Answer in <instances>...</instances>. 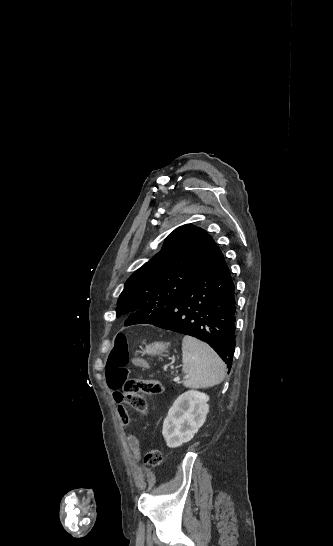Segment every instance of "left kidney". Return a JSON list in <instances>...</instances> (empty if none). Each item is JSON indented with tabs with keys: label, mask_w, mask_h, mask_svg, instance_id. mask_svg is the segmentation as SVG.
I'll return each mask as SVG.
<instances>
[{
	"label": "left kidney",
	"mask_w": 333,
	"mask_h": 546,
	"mask_svg": "<svg viewBox=\"0 0 333 546\" xmlns=\"http://www.w3.org/2000/svg\"><path fill=\"white\" fill-rule=\"evenodd\" d=\"M208 399L197 390L178 396L163 423L162 434L168 447L177 448L194 437L209 412Z\"/></svg>",
	"instance_id": "5707ae66"
}]
</instances>
